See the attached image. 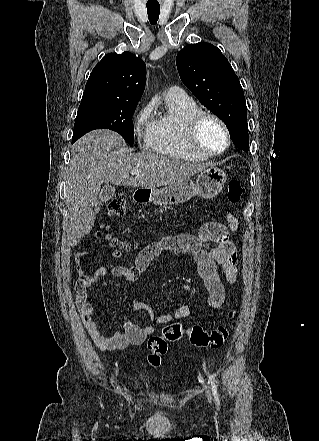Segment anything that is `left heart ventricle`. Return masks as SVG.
Instances as JSON below:
<instances>
[{"label":"left heart ventricle","instance_id":"1","mask_svg":"<svg viewBox=\"0 0 319 441\" xmlns=\"http://www.w3.org/2000/svg\"><path fill=\"white\" fill-rule=\"evenodd\" d=\"M198 140L203 148L210 151L221 150L225 145L224 132L212 120H207L203 123L198 133Z\"/></svg>","mask_w":319,"mask_h":441}]
</instances>
